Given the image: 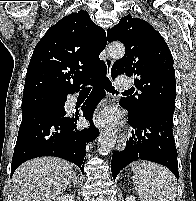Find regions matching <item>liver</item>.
I'll use <instances>...</instances> for the list:
<instances>
[{
  "label": "liver",
  "mask_w": 196,
  "mask_h": 201,
  "mask_svg": "<svg viewBox=\"0 0 196 201\" xmlns=\"http://www.w3.org/2000/svg\"><path fill=\"white\" fill-rule=\"evenodd\" d=\"M74 179L72 164L39 157L19 166L12 177L13 201H54Z\"/></svg>",
  "instance_id": "1"
}]
</instances>
